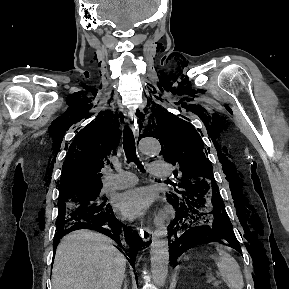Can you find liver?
I'll return each instance as SVG.
<instances>
[{
    "mask_svg": "<svg viewBox=\"0 0 289 289\" xmlns=\"http://www.w3.org/2000/svg\"><path fill=\"white\" fill-rule=\"evenodd\" d=\"M126 259L108 237L77 230L59 243L52 269L53 289H121Z\"/></svg>",
    "mask_w": 289,
    "mask_h": 289,
    "instance_id": "1",
    "label": "liver"
}]
</instances>
